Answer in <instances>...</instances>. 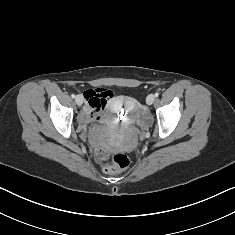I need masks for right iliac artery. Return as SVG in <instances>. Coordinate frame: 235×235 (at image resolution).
I'll return each mask as SVG.
<instances>
[{
	"mask_svg": "<svg viewBox=\"0 0 235 235\" xmlns=\"http://www.w3.org/2000/svg\"><path fill=\"white\" fill-rule=\"evenodd\" d=\"M71 96H72V98H75V97H76V95H75L74 93H73Z\"/></svg>",
	"mask_w": 235,
	"mask_h": 235,
	"instance_id": "82829eb1",
	"label": "right iliac artery"
}]
</instances>
